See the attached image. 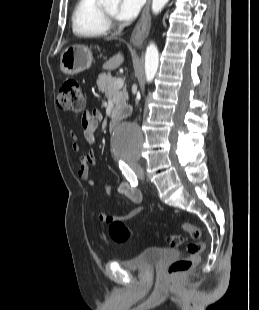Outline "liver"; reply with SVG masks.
Masks as SVG:
<instances>
[{
  "mask_svg": "<svg viewBox=\"0 0 259 310\" xmlns=\"http://www.w3.org/2000/svg\"><path fill=\"white\" fill-rule=\"evenodd\" d=\"M124 61V57L121 53L114 55L110 58L105 64L104 68L106 69H116L118 68Z\"/></svg>",
  "mask_w": 259,
  "mask_h": 310,
  "instance_id": "liver-1",
  "label": "liver"
}]
</instances>
